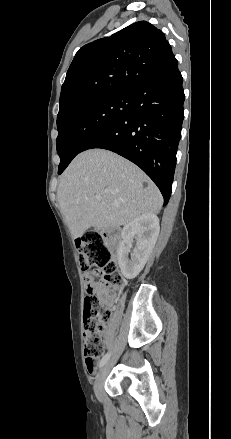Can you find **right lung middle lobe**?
I'll use <instances>...</instances> for the list:
<instances>
[{"label":"right lung middle lobe","instance_id":"dd1d6c3e","mask_svg":"<svg viewBox=\"0 0 231 439\" xmlns=\"http://www.w3.org/2000/svg\"><path fill=\"white\" fill-rule=\"evenodd\" d=\"M133 94H110L86 99L58 114L56 139L60 156L58 174L80 153L95 134L126 114L132 107Z\"/></svg>","mask_w":231,"mask_h":439}]
</instances>
